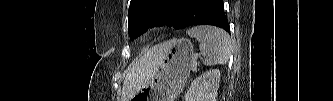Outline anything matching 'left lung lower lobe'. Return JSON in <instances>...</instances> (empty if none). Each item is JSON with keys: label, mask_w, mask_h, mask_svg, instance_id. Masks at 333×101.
I'll list each match as a JSON object with an SVG mask.
<instances>
[{"label": "left lung lower lobe", "mask_w": 333, "mask_h": 101, "mask_svg": "<svg viewBox=\"0 0 333 101\" xmlns=\"http://www.w3.org/2000/svg\"><path fill=\"white\" fill-rule=\"evenodd\" d=\"M184 10L181 23L182 29L193 25H214L230 33L228 20L224 13L223 0H181Z\"/></svg>", "instance_id": "obj_1"}]
</instances>
